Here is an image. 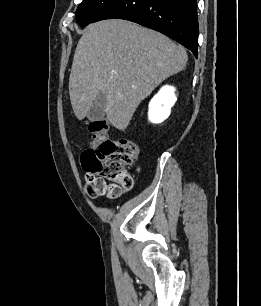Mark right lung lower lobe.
<instances>
[{
	"mask_svg": "<svg viewBox=\"0 0 261 306\" xmlns=\"http://www.w3.org/2000/svg\"><path fill=\"white\" fill-rule=\"evenodd\" d=\"M105 19L129 20L159 31L197 57V0H115L92 23Z\"/></svg>",
	"mask_w": 261,
	"mask_h": 306,
	"instance_id": "98d812e1",
	"label": "right lung lower lobe"
}]
</instances>
